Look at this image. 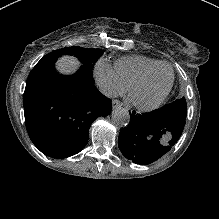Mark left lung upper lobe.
I'll list each match as a JSON object with an SVG mask.
<instances>
[{
    "label": "left lung upper lobe",
    "mask_w": 219,
    "mask_h": 219,
    "mask_svg": "<svg viewBox=\"0 0 219 219\" xmlns=\"http://www.w3.org/2000/svg\"><path fill=\"white\" fill-rule=\"evenodd\" d=\"M161 111L170 112L186 119L187 105L185 98L177 99L173 103L163 106Z\"/></svg>",
    "instance_id": "1"
}]
</instances>
